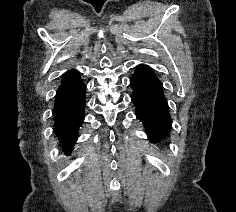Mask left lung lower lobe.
I'll use <instances>...</instances> for the list:
<instances>
[{
    "label": "left lung lower lobe",
    "mask_w": 236,
    "mask_h": 212,
    "mask_svg": "<svg viewBox=\"0 0 236 212\" xmlns=\"http://www.w3.org/2000/svg\"><path fill=\"white\" fill-rule=\"evenodd\" d=\"M130 86L136 115L144 124L150 141L156 143L170 135L171 116L163 84L156 71L146 64L137 65Z\"/></svg>",
    "instance_id": "obj_1"
}]
</instances>
